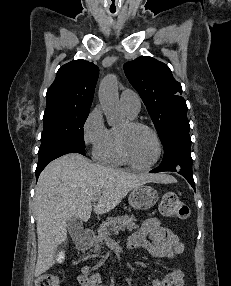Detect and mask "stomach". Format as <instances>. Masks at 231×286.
Segmentation results:
<instances>
[{
  "instance_id": "stomach-1",
  "label": "stomach",
  "mask_w": 231,
  "mask_h": 286,
  "mask_svg": "<svg viewBox=\"0 0 231 286\" xmlns=\"http://www.w3.org/2000/svg\"><path fill=\"white\" fill-rule=\"evenodd\" d=\"M158 199V192L148 185H141L132 189L128 197L129 204L138 210L150 209Z\"/></svg>"
}]
</instances>
